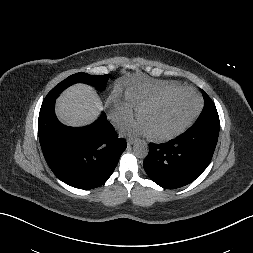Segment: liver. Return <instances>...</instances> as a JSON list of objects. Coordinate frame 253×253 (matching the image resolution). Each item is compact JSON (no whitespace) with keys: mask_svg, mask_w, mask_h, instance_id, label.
<instances>
[{"mask_svg":"<svg viewBox=\"0 0 253 253\" xmlns=\"http://www.w3.org/2000/svg\"><path fill=\"white\" fill-rule=\"evenodd\" d=\"M102 108V102L93 88L76 84L60 95L56 113L64 124L82 126L93 122Z\"/></svg>","mask_w":253,"mask_h":253,"instance_id":"1","label":"liver"}]
</instances>
